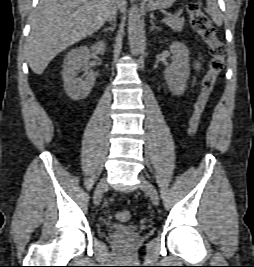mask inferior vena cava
I'll use <instances>...</instances> for the list:
<instances>
[{
  "instance_id": "1",
  "label": "inferior vena cava",
  "mask_w": 254,
  "mask_h": 267,
  "mask_svg": "<svg viewBox=\"0 0 254 267\" xmlns=\"http://www.w3.org/2000/svg\"><path fill=\"white\" fill-rule=\"evenodd\" d=\"M118 3H119L118 0H115L113 2V5H112V7L110 9V12L108 14V17H107V20L109 22L112 21V20H115V18H116V13H117V9H118Z\"/></svg>"
}]
</instances>
